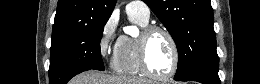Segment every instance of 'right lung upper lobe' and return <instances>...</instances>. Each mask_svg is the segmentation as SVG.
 I'll list each match as a JSON object with an SVG mask.
<instances>
[{"instance_id": "cb5924a9", "label": "right lung upper lobe", "mask_w": 260, "mask_h": 84, "mask_svg": "<svg viewBox=\"0 0 260 84\" xmlns=\"http://www.w3.org/2000/svg\"><path fill=\"white\" fill-rule=\"evenodd\" d=\"M115 4L116 0H59L52 35L108 20Z\"/></svg>"}]
</instances>
